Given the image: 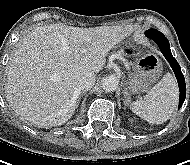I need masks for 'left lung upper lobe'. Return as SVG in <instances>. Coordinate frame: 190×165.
I'll use <instances>...</instances> for the list:
<instances>
[{
  "label": "left lung upper lobe",
  "mask_w": 190,
  "mask_h": 165,
  "mask_svg": "<svg viewBox=\"0 0 190 165\" xmlns=\"http://www.w3.org/2000/svg\"><path fill=\"white\" fill-rule=\"evenodd\" d=\"M159 33V31H157L156 29H149L145 32L146 37H149V35H154Z\"/></svg>",
  "instance_id": "5c2ea615"
}]
</instances>
